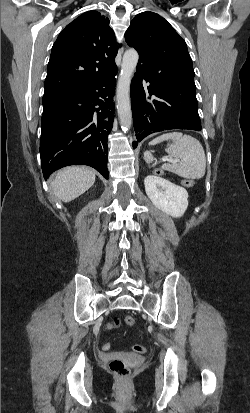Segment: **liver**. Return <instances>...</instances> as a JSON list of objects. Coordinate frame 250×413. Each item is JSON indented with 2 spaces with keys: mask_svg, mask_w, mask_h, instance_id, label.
<instances>
[{
  "mask_svg": "<svg viewBox=\"0 0 250 413\" xmlns=\"http://www.w3.org/2000/svg\"><path fill=\"white\" fill-rule=\"evenodd\" d=\"M95 182V172L84 166H69L59 170L51 183L56 197L67 203L82 195Z\"/></svg>",
  "mask_w": 250,
  "mask_h": 413,
  "instance_id": "liver-1",
  "label": "liver"
}]
</instances>
